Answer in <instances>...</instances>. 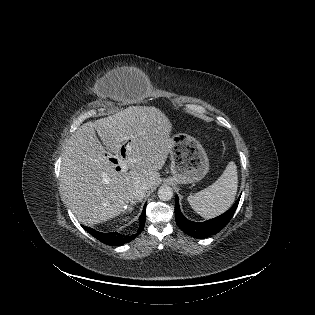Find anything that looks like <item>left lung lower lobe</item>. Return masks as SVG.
<instances>
[{
    "label": "left lung lower lobe",
    "mask_w": 315,
    "mask_h": 315,
    "mask_svg": "<svg viewBox=\"0 0 315 315\" xmlns=\"http://www.w3.org/2000/svg\"><path fill=\"white\" fill-rule=\"evenodd\" d=\"M240 197L234 203L231 209L222 215L205 222H193L184 217L179 208L178 197L175 196V217L176 223L186 234L194 238H206L221 231L233 217L238 206Z\"/></svg>",
    "instance_id": "1"
}]
</instances>
